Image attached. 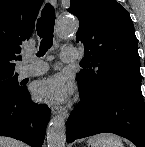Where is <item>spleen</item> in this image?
I'll use <instances>...</instances> for the list:
<instances>
[{
    "mask_svg": "<svg viewBox=\"0 0 145 147\" xmlns=\"http://www.w3.org/2000/svg\"><path fill=\"white\" fill-rule=\"evenodd\" d=\"M91 147H124L120 137L114 134H99L89 139Z\"/></svg>",
    "mask_w": 145,
    "mask_h": 147,
    "instance_id": "obj_1",
    "label": "spleen"
}]
</instances>
